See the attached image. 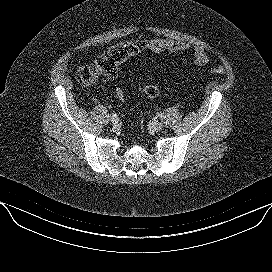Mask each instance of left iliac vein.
Wrapping results in <instances>:
<instances>
[{
    "instance_id": "left-iliac-vein-1",
    "label": "left iliac vein",
    "mask_w": 272,
    "mask_h": 272,
    "mask_svg": "<svg viewBox=\"0 0 272 272\" xmlns=\"http://www.w3.org/2000/svg\"><path fill=\"white\" fill-rule=\"evenodd\" d=\"M150 127L154 131H161L163 129V125L157 120L152 121L151 124H150Z\"/></svg>"
}]
</instances>
